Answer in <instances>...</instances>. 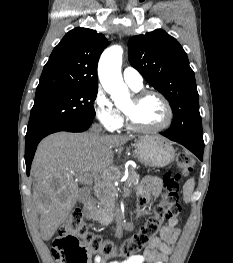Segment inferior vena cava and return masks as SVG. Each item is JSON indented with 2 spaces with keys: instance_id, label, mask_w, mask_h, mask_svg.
Returning a JSON list of instances; mask_svg holds the SVG:
<instances>
[{
  "instance_id": "1",
  "label": "inferior vena cava",
  "mask_w": 233,
  "mask_h": 263,
  "mask_svg": "<svg viewBox=\"0 0 233 263\" xmlns=\"http://www.w3.org/2000/svg\"><path fill=\"white\" fill-rule=\"evenodd\" d=\"M102 183H101V181L99 180V181H96V185L97 186H99V185H101Z\"/></svg>"
}]
</instances>
